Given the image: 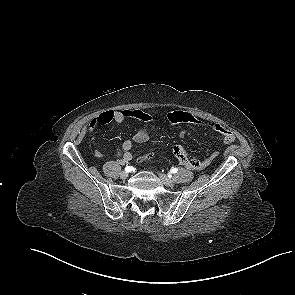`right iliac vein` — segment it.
I'll return each mask as SVG.
<instances>
[{"label": "right iliac vein", "mask_w": 295, "mask_h": 295, "mask_svg": "<svg viewBox=\"0 0 295 295\" xmlns=\"http://www.w3.org/2000/svg\"><path fill=\"white\" fill-rule=\"evenodd\" d=\"M121 179H126L128 177V173L126 171L121 172L120 174Z\"/></svg>", "instance_id": "right-iliac-vein-1"}]
</instances>
